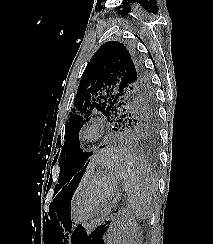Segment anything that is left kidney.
<instances>
[{"label": "left kidney", "instance_id": "left-kidney-1", "mask_svg": "<svg viewBox=\"0 0 213 244\" xmlns=\"http://www.w3.org/2000/svg\"><path fill=\"white\" fill-rule=\"evenodd\" d=\"M137 232V226L121 215L108 234L107 244H138Z\"/></svg>", "mask_w": 213, "mask_h": 244}]
</instances>
